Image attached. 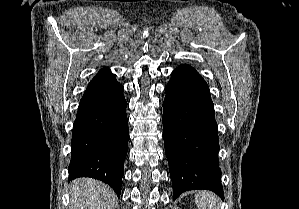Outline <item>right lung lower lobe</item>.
Wrapping results in <instances>:
<instances>
[{
  "instance_id": "98d812e1",
  "label": "right lung lower lobe",
  "mask_w": 299,
  "mask_h": 209,
  "mask_svg": "<svg viewBox=\"0 0 299 209\" xmlns=\"http://www.w3.org/2000/svg\"><path fill=\"white\" fill-rule=\"evenodd\" d=\"M126 107L123 87L108 69L100 70L88 84L74 121L69 180L96 178L120 197L128 145Z\"/></svg>"
}]
</instances>
